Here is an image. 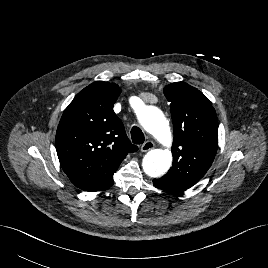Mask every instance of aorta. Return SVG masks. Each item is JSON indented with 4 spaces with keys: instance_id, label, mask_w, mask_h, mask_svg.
Instances as JSON below:
<instances>
[{
    "instance_id": "aorta-1",
    "label": "aorta",
    "mask_w": 268,
    "mask_h": 268,
    "mask_svg": "<svg viewBox=\"0 0 268 268\" xmlns=\"http://www.w3.org/2000/svg\"><path fill=\"white\" fill-rule=\"evenodd\" d=\"M137 118L143 128L153 135L160 143L169 146L172 135L163 112L155 106H144L138 112ZM172 164V154L168 149H153L143 158L142 167L150 177L164 175Z\"/></svg>"
}]
</instances>
